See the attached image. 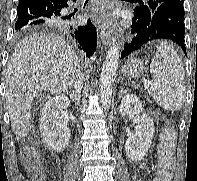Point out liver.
Returning a JSON list of instances; mask_svg holds the SVG:
<instances>
[{"label": "liver", "mask_w": 197, "mask_h": 181, "mask_svg": "<svg viewBox=\"0 0 197 181\" xmlns=\"http://www.w3.org/2000/svg\"><path fill=\"white\" fill-rule=\"evenodd\" d=\"M80 72L72 47L54 34H32L18 43L7 66L5 98L17 137L30 131L31 107L42 91L62 94Z\"/></svg>", "instance_id": "6515ba94"}]
</instances>
